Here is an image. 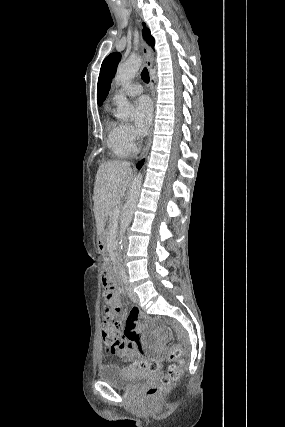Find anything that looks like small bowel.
I'll list each match as a JSON object with an SVG mask.
<instances>
[{
	"label": "small bowel",
	"mask_w": 285,
	"mask_h": 427,
	"mask_svg": "<svg viewBox=\"0 0 285 427\" xmlns=\"http://www.w3.org/2000/svg\"><path fill=\"white\" fill-rule=\"evenodd\" d=\"M115 309L113 312L118 314L121 311V304L119 301V296L116 295L114 297ZM113 312H109L105 308V305L102 307V323L112 322L118 328H123V337L121 339V348L117 350L115 353L118 357L123 361H132L138 359L142 356L140 352H138L135 348V336H136V326L137 322L134 317L123 321L122 318L114 320ZM133 314H137L136 310H133Z\"/></svg>",
	"instance_id": "c3829d8e"
}]
</instances>
